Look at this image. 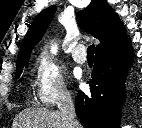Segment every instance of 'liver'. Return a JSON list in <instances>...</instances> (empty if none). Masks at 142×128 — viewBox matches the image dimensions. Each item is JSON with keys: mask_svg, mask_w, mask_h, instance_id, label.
<instances>
[{"mask_svg": "<svg viewBox=\"0 0 142 128\" xmlns=\"http://www.w3.org/2000/svg\"><path fill=\"white\" fill-rule=\"evenodd\" d=\"M13 128H67V122L61 111L28 108L17 115Z\"/></svg>", "mask_w": 142, "mask_h": 128, "instance_id": "liver-1", "label": "liver"}]
</instances>
